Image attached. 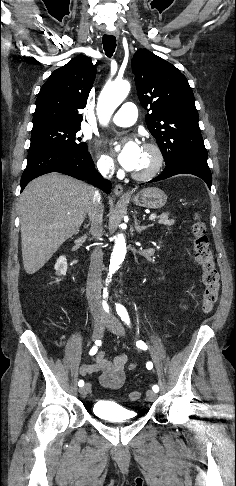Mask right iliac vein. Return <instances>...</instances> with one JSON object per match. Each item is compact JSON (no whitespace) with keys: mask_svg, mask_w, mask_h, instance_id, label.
<instances>
[{"mask_svg":"<svg viewBox=\"0 0 236 486\" xmlns=\"http://www.w3.org/2000/svg\"><path fill=\"white\" fill-rule=\"evenodd\" d=\"M106 321L104 319H97L94 323L93 328V340H98L102 338L104 329H105ZM91 390V384L86 383L83 387L79 389V393L83 396L87 395Z\"/></svg>","mask_w":236,"mask_h":486,"instance_id":"63e3f726","label":"right iliac vein"}]
</instances>
